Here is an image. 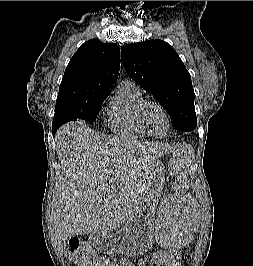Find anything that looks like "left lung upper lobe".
I'll return each instance as SVG.
<instances>
[{
	"mask_svg": "<svg viewBox=\"0 0 253 266\" xmlns=\"http://www.w3.org/2000/svg\"><path fill=\"white\" fill-rule=\"evenodd\" d=\"M121 61L127 74L159 100L178 132L196 128L191 76L172 46L162 40L127 44Z\"/></svg>",
	"mask_w": 253,
	"mask_h": 266,
	"instance_id": "obj_1",
	"label": "left lung upper lobe"
}]
</instances>
